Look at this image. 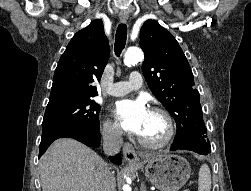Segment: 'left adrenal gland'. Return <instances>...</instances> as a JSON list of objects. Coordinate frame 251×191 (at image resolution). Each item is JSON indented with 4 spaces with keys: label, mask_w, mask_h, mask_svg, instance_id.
Here are the masks:
<instances>
[{
    "label": "left adrenal gland",
    "mask_w": 251,
    "mask_h": 191,
    "mask_svg": "<svg viewBox=\"0 0 251 191\" xmlns=\"http://www.w3.org/2000/svg\"><path fill=\"white\" fill-rule=\"evenodd\" d=\"M141 191H146L144 181H142V183H141Z\"/></svg>",
    "instance_id": "a2214340"
}]
</instances>
